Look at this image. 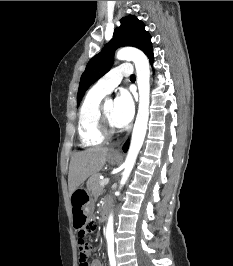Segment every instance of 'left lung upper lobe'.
Masks as SVG:
<instances>
[{
  "instance_id": "obj_1",
  "label": "left lung upper lobe",
  "mask_w": 233,
  "mask_h": 266,
  "mask_svg": "<svg viewBox=\"0 0 233 266\" xmlns=\"http://www.w3.org/2000/svg\"><path fill=\"white\" fill-rule=\"evenodd\" d=\"M120 22V27L114 30L112 40L87 64L80 79L77 106L80 104L85 91L110 70L113 64L114 52L117 48L133 46L141 49L145 54L152 49L151 36L145 31L143 22L132 15L123 17Z\"/></svg>"
}]
</instances>
